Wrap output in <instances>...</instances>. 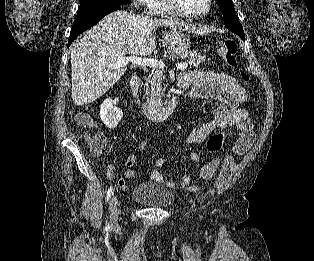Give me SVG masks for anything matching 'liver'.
<instances>
[{"instance_id":"obj_1","label":"liver","mask_w":314,"mask_h":261,"mask_svg":"<svg viewBox=\"0 0 314 261\" xmlns=\"http://www.w3.org/2000/svg\"><path fill=\"white\" fill-rule=\"evenodd\" d=\"M193 31L183 22L150 19L125 11L107 15L71 47L72 99L77 106L94 102L126 72V67L111 68L121 58L147 56L156 48L154 27Z\"/></svg>"}]
</instances>
